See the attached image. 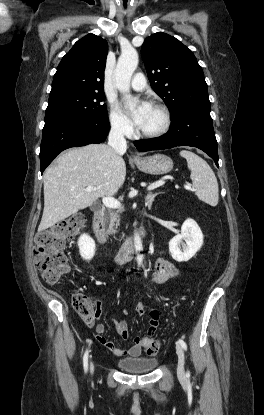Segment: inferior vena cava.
<instances>
[{"mask_svg":"<svg viewBox=\"0 0 264 415\" xmlns=\"http://www.w3.org/2000/svg\"><path fill=\"white\" fill-rule=\"evenodd\" d=\"M108 145L114 149L118 155L125 153L127 149V142L124 138V131L120 124H114L111 127L108 136Z\"/></svg>","mask_w":264,"mask_h":415,"instance_id":"inferior-vena-cava-1","label":"inferior vena cava"}]
</instances>
